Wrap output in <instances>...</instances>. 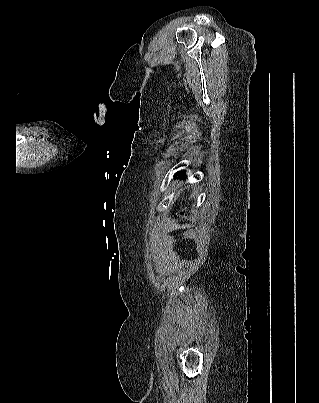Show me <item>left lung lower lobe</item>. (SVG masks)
<instances>
[{
    "label": "left lung lower lobe",
    "instance_id": "0a47b994",
    "mask_svg": "<svg viewBox=\"0 0 319 403\" xmlns=\"http://www.w3.org/2000/svg\"><path fill=\"white\" fill-rule=\"evenodd\" d=\"M177 174H178V177L185 178V174L182 171L177 172ZM177 174L174 175V178H177Z\"/></svg>",
    "mask_w": 319,
    "mask_h": 403
}]
</instances>
